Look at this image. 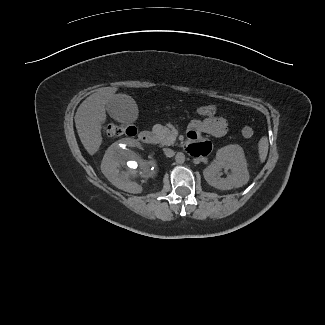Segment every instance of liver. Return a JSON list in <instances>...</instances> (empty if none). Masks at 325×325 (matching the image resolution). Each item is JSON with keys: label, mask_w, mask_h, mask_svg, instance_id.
Instances as JSON below:
<instances>
[{"label": "liver", "mask_w": 325, "mask_h": 325, "mask_svg": "<svg viewBox=\"0 0 325 325\" xmlns=\"http://www.w3.org/2000/svg\"><path fill=\"white\" fill-rule=\"evenodd\" d=\"M116 91L115 87L100 88L87 97L76 111L74 118L76 129L84 148L90 155H94L102 144L101 130L106 122L107 104L115 97L128 96L116 94ZM128 97L133 100L130 96Z\"/></svg>", "instance_id": "liver-1"}]
</instances>
